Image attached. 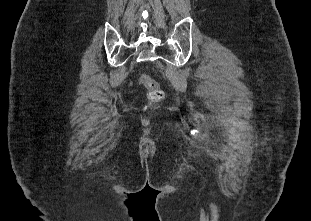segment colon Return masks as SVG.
Returning a JSON list of instances; mask_svg holds the SVG:
<instances>
[{"label":"colon","mask_w":311,"mask_h":221,"mask_svg":"<svg viewBox=\"0 0 311 221\" xmlns=\"http://www.w3.org/2000/svg\"><path fill=\"white\" fill-rule=\"evenodd\" d=\"M141 84L148 90V99L150 102H158L160 101L164 93L157 82L153 81L149 76L142 75L141 77ZM144 110H148L147 107Z\"/></svg>","instance_id":"1"}]
</instances>
